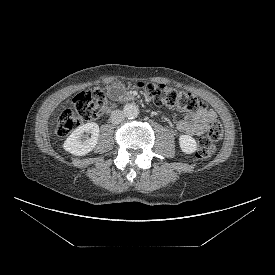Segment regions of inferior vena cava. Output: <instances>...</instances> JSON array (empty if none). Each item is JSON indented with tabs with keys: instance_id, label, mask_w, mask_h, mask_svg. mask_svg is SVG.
Masks as SVG:
<instances>
[{
	"instance_id": "inferior-vena-cava-1",
	"label": "inferior vena cava",
	"mask_w": 275,
	"mask_h": 275,
	"mask_svg": "<svg viewBox=\"0 0 275 275\" xmlns=\"http://www.w3.org/2000/svg\"><path fill=\"white\" fill-rule=\"evenodd\" d=\"M124 113L120 110L113 111L110 116V122L112 124H119L124 120Z\"/></svg>"
}]
</instances>
